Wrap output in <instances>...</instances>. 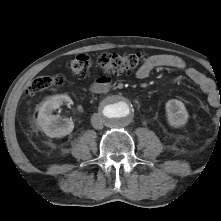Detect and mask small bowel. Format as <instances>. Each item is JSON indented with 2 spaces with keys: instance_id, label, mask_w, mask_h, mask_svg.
<instances>
[{
  "instance_id": "small-bowel-1",
  "label": "small bowel",
  "mask_w": 221,
  "mask_h": 221,
  "mask_svg": "<svg viewBox=\"0 0 221 221\" xmlns=\"http://www.w3.org/2000/svg\"><path fill=\"white\" fill-rule=\"evenodd\" d=\"M158 67L184 70L187 77L207 95L208 103L211 106L217 107L221 104V96L217 93L213 80L196 68L187 67L184 60L174 55L156 54L148 57L138 69L136 76L139 79L147 78Z\"/></svg>"
}]
</instances>
